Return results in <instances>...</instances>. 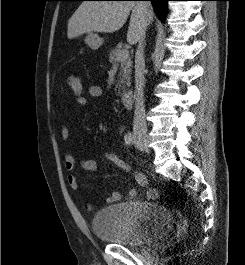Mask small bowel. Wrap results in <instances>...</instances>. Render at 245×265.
Wrapping results in <instances>:
<instances>
[{"label":"small bowel","mask_w":245,"mask_h":265,"mask_svg":"<svg viewBox=\"0 0 245 265\" xmlns=\"http://www.w3.org/2000/svg\"><path fill=\"white\" fill-rule=\"evenodd\" d=\"M103 90L100 86L98 85H90L87 88V94L91 98H98L102 96ZM88 99L85 97L84 100L77 102V107L78 108H83L87 105ZM70 137V131L67 126H63L61 129V138L64 141H67ZM65 168L66 170L70 173L67 176V182L68 185L70 186L71 189L73 190H78L80 187L79 179L78 177L74 174V171L77 166H79L83 171L90 173L94 172L97 168V163L95 160L91 158H83L80 160H77L72 154L66 153L65 154ZM135 179L138 184L141 186H146V178L140 174L136 173L135 174ZM159 193L155 189H149L147 191V197L150 199H156L158 197ZM128 197L130 199H135L137 197V191L133 188L128 190ZM122 199V195L119 191H112L109 196L106 198V203L112 204L119 202ZM86 209L91 210L92 205L90 203H87L85 205Z\"/></svg>","instance_id":"c3829d8e"}]
</instances>
